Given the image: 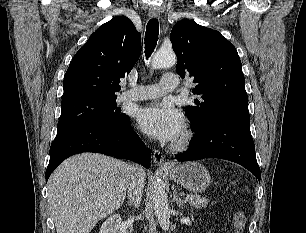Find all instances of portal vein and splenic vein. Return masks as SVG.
Returning <instances> with one entry per match:
<instances>
[{
  "label": "portal vein and splenic vein",
  "mask_w": 306,
  "mask_h": 233,
  "mask_svg": "<svg viewBox=\"0 0 306 233\" xmlns=\"http://www.w3.org/2000/svg\"><path fill=\"white\" fill-rule=\"evenodd\" d=\"M191 198L189 196H186L185 201H189Z\"/></svg>",
  "instance_id": "18ae733b"
}]
</instances>
